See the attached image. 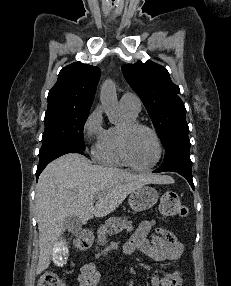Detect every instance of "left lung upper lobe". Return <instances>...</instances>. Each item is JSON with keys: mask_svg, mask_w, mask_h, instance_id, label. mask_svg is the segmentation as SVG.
Listing matches in <instances>:
<instances>
[{"mask_svg": "<svg viewBox=\"0 0 231 286\" xmlns=\"http://www.w3.org/2000/svg\"><path fill=\"white\" fill-rule=\"evenodd\" d=\"M125 79L139 95L164 144L188 135L186 109L178 96L180 89L172 83L166 68L152 61L122 66Z\"/></svg>", "mask_w": 231, "mask_h": 286, "instance_id": "left-lung-upper-lobe-1", "label": "left lung upper lobe"}]
</instances>
